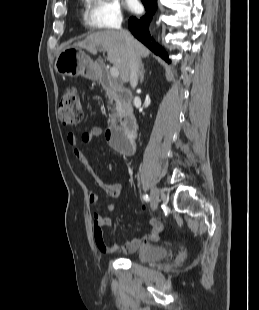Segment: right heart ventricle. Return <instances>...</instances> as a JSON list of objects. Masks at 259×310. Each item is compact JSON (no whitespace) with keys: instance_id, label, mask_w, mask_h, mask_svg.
<instances>
[{"instance_id":"right-heart-ventricle-1","label":"right heart ventricle","mask_w":259,"mask_h":310,"mask_svg":"<svg viewBox=\"0 0 259 310\" xmlns=\"http://www.w3.org/2000/svg\"><path fill=\"white\" fill-rule=\"evenodd\" d=\"M85 22L87 25L92 26V24L87 19H85Z\"/></svg>"}]
</instances>
